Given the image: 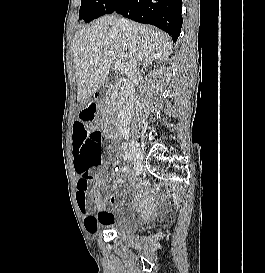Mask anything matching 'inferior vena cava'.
<instances>
[{
	"label": "inferior vena cava",
	"instance_id": "602c4592",
	"mask_svg": "<svg viewBox=\"0 0 265 273\" xmlns=\"http://www.w3.org/2000/svg\"><path fill=\"white\" fill-rule=\"evenodd\" d=\"M119 23L122 29L126 32V35L128 36V41L130 43L129 51L131 57L129 64L125 69L126 77L124 79V83L121 86L116 122L118 132L121 135H126L129 133V124L133 114V101L135 93L133 82L136 78L137 70V49L134 45L132 34L128 32V21L120 19Z\"/></svg>",
	"mask_w": 265,
	"mask_h": 273
}]
</instances>
